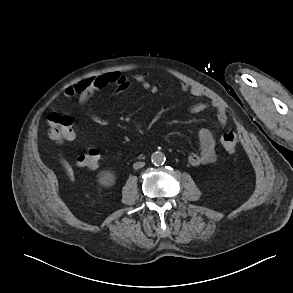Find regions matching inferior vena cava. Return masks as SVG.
<instances>
[{"mask_svg":"<svg viewBox=\"0 0 293 293\" xmlns=\"http://www.w3.org/2000/svg\"><path fill=\"white\" fill-rule=\"evenodd\" d=\"M144 165H145L144 162H136V163L133 164V168L135 170H137V169H140V168L144 167Z\"/></svg>","mask_w":293,"mask_h":293,"instance_id":"1","label":"inferior vena cava"}]
</instances>
